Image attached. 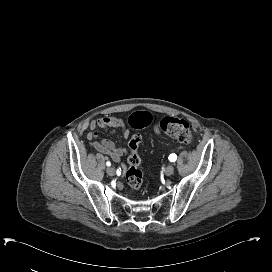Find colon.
I'll return each instance as SVG.
<instances>
[{
  "instance_id": "5ec220e1",
  "label": "colon",
  "mask_w": 272,
  "mask_h": 272,
  "mask_svg": "<svg viewBox=\"0 0 272 272\" xmlns=\"http://www.w3.org/2000/svg\"><path fill=\"white\" fill-rule=\"evenodd\" d=\"M150 116L146 113H133L128 118V124L136 130L146 127L150 123ZM158 127L167 135L181 143L188 144L192 140L191 128L189 123L181 118L166 116L159 122ZM141 135L135 133L129 141V148L139 147ZM129 169L126 172V182L134 190H138L142 184V173L134 159L129 158Z\"/></svg>"
}]
</instances>
